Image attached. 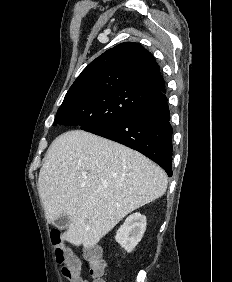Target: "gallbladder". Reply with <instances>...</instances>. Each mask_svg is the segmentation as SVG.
I'll return each instance as SVG.
<instances>
[{
	"label": "gallbladder",
	"mask_w": 232,
	"mask_h": 282,
	"mask_svg": "<svg viewBox=\"0 0 232 282\" xmlns=\"http://www.w3.org/2000/svg\"><path fill=\"white\" fill-rule=\"evenodd\" d=\"M53 225L60 230L67 229L70 225V218L68 215H61L55 221H53Z\"/></svg>",
	"instance_id": "obj_1"
}]
</instances>
